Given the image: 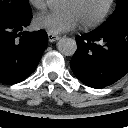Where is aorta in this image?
<instances>
[{
    "label": "aorta",
    "mask_w": 128,
    "mask_h": 128,
    "mask_svg": "<svg viewBox=\"0 0 128 128\" xmlns=\"http://www.w3.org/2000/svg\"><path fill=\"white\" fill-rule=\"evenodd\" d=\"M51 7H58L62 3V0H48ZM58 51L65 56H72L77 50V44L74 39L62 38L57 43Z\"/></svg>",
    "instance_id": "obj_1"
}]
</instances>
